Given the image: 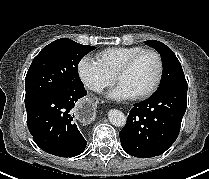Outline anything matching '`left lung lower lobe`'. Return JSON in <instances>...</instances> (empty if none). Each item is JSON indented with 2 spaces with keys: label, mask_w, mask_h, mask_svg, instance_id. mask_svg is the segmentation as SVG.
Instances as JSON below:
<instances>
[{
  "label": "left lung lower lobe",
  "mask_w": 209,
  "mask_h": 179,
  "mask_svg": "<svg viewBox=\"0 0 209 179\" xmlns=\"http://www.w3.org/2000/svg\"><path fill=\"white\" fill-rule=\"evenodd\" d=\"M187 85H177L134 104L120 131L123 149L148 158L164 153L178 137L186 111Z\"/></svg>",
  "instance_id": "obj_1"
}]
</instances>
